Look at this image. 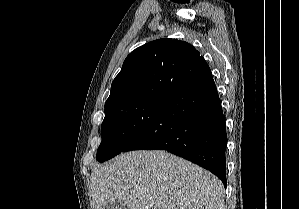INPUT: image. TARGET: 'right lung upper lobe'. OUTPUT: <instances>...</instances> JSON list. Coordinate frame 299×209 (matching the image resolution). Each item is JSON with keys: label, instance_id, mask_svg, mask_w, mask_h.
<instances>
[{"label": "right lung upper lobe", "instance_id": "1", "mask_svg": "<svg viewBox=\"0 0 299 209\" xmlns=\"http://www.w3.org/2000/svg\"><path fill=\"white\" fill-rule=\"evenodd\" d=\"M210 71L189 43L159 39L132 51L111 85L105 111L142 101L164 102L189 79Z\"/></svg>", "mask_w": 299, "mask_h": 209}]
</instances>
